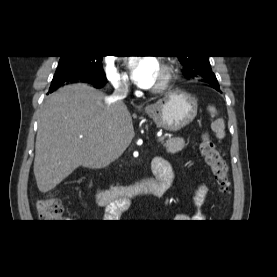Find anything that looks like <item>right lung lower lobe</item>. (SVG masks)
<instances>
[{"mask_svg": "<svg viewBox=\"0 0 277 277\" xmlns=\"http://www.w3.org/2000/svg\"><path fill=\"white\" fill-rule=\"evenodd\" d=\"M84 82H87V83H90V84H93L95 87L97 88H100L103 86V83H99V82H92L90 80H83Z\"/></svg>", "mask_w": 277, "mask_h": 277, "instance_id": "98d812e1", "label": "right lung lower lobe"}]
</instances>
